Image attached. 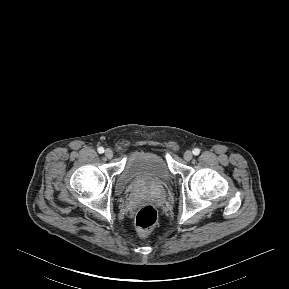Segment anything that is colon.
<instances>
[{
	"instance_id": "colon-1",
	"label": "colon",
	"mask_w": 289,
	"mask_h": 289,
	"mask_svg": "<svg viewBox=\"0 0 289 289\" xmlns=\"http://www.w3.org/2000/svg\"><path fill=\"white\" fill-rule=\"evenodd\" d=\"M158 221L157 210L151 205L141 207L135 218L136 227L142 236L148 235Z\"/></svg>"
}]
</instances>
